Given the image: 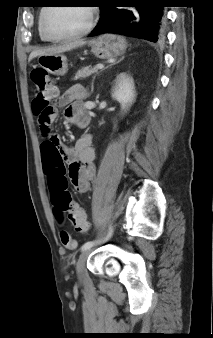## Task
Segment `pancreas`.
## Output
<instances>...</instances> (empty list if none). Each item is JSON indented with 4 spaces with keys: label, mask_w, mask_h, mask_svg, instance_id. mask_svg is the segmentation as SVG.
Returning a JSON list of instances; mask_svg holds the SVG:
<instances>
[{
    "label": "pancreas",
    "mask_w": 213,
    "mask_h": 338,
    "mask_svg": "<svg viewBox=\"0 0 213 338\" xmlns=\"http://www.w3.org/2000/svg\"><path fill=\"white\" fill-rule=\"evenodd\" d=\"M94 73H97V69L96 68H90V67H85L81 70H79L76 74L75 77L73 78L74 80H78V79H84Z\"/></svg>",
    "instance_id": "cf45deb5"
}]
</instances>
